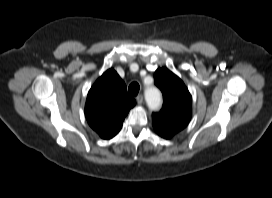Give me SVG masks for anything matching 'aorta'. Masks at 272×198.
<instances>
[{"instance_id": "1", "label": "aorta", "mask_w": 272, "mask_h": 198, "mask_svg": "<svg viewBox=\"0 0 272 198\" xmlns=\"http://www.w3.org/2000/svg\"><path fill=\"white\" fill-rule=\"evenodd\" d=\"M145 100L148 108L152 110H157L161 105V93L155 87H149L145 90Z\"/></svg>"}]
</instances>
